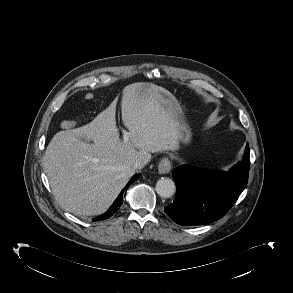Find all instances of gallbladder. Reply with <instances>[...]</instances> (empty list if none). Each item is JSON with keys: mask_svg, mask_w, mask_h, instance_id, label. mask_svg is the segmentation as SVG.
<instances>
[{"mask_svg": "<svg viewBox=\"0 0 293 293\" xmlns=\"http://www.w3.org/2000/svg\"><path fill=\"white\" fill-rule=\"evenodd\" d=\"M81 140L84 141V142H87V139H85V138H81Z\"/></svg>", "mask_w": 293, "mask_h": 293, "instance_id": "gallbladder-1", "label": "gallbladder"}]
</instances>
